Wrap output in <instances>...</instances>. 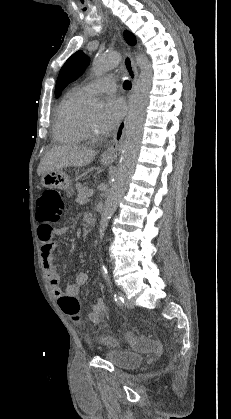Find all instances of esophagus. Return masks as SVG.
<instances>
[{"instance_id": "1", "label": "esophagus", "mask_w": 231, "mask_h": 419, "mask_svg": "<svg viewBox=\"0 0 231 419\" xmlns=\"http://www.w3.org/2000/svg\"><path fill=\"white\" fill-rule=\"evenodd\" d=\"M123 51H124L123 64L132 81V86L134 87L137 82V76H138L137 67L133 60L130 49L123 46ZM126 121H127V118L125 117L120 122L119 126L117 127L108 149L102 154V158L104 160L114 161L119 157L122 147H123Z\"/></svg>"}]
</instances>
